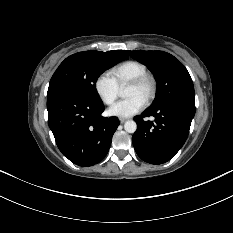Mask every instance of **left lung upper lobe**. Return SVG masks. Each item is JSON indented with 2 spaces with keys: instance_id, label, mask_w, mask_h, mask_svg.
I'll return each mask as SVG.
<instances>
[{
  "instance_id": "left-lung-upper-lobe-1",
  "label": "left lung upper lobe",
  "mask_w": 233,
  "mask_h": 233,
  "mask_svg": "<svg viewBox=\"0 0 233 233\" xmlns=\"http://www.w3.org/2000/svg\"><path fill=\"white\" fill-rule=\"evenodd\" d=\"M127 54L147 65L158 82L157 97L150 107L177 101L195 105L190 74L174 56L163 51H127Z\"/></svg>"
}]
</instances>
